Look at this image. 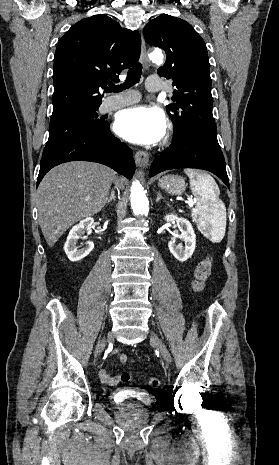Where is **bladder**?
<instances>
[{"mask_svg":"<svg viewBox=\"0 0 279 465\" xmlns=\"http://www.w3.org/2000/svg\"><path fill=\"white\" fill-rule=\"evenodd\" d=\"M112 401L121 412L137 414L155 405V398L143 392H128L118 390L112 395Z\"/></svg>","mask_w":279,"mask_h":465,"instance_id":"1","label":"bladder"}]
</instances>
